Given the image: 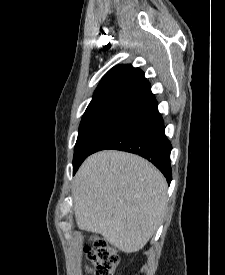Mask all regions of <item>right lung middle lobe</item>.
Masks as SVG:
<instances>
[{
	"instance_id": "1",
	"label": "right lung middle lobe",
	"mask_w": 225,
	"mask_h": 275,
	"mask_svg": "<svg viewBox=\"0 0 225 275\" xmlns=\"http://www.w3.org/2000/svg\"><path fill=\"white\" fill-rule=\"evenodd\" d=\"M125 117L122 114H101L82 119L74 149L73 174L97 143Z\"/></svg>"
}]
</instances>
